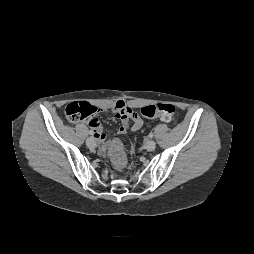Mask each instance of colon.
<instances>
[{"instance_id": "5ec220e1", "label": "colon", "mask_w": 254, "mask_h": 254, "mask_svg": "<svg viewBox=\"0 0 254 254\" xmlns=\"http://www.w3.org/2000/svg\"><path fill=\"white\" fill-rule=\"evenodd\" d=\"M96 111V108L88 103L75 102L66 106L64 114L70 122H91L95 118ZM140 114L145 118L159 119L166 123L176 122L179 116L178 110L173 105L167 103L144 106L140 109ZM111 156L118 168L125 166L126 161L118 142L112 143Z\"/></svg>"}]
</instances>
